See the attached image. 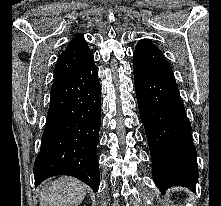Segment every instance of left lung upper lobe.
<instances>
[{"mask_svg":"<svg viewBox=\"0 0 221 206\" xmlns=\"http://www.w3.org/2000/svg\"><path fill=\"white\" fill-rule=\"evenodd\" d=\"M134 71L158 77L174 78L161 50L148 39L138 42L134 51Z\"/></svg>","mask_w":221,"mask_h":206,"instance_id":"left-lung-upper-lobe-1","label":"left lung upper lobe"}]
</instances>
